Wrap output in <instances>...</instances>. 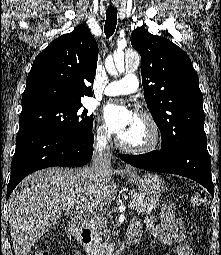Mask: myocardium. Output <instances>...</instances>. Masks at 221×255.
Masks as SVG:
<instances>
[{
	"mask_svg": "<svg viewBox=\"0 0 221 255\" xmlns=\"http://www.w3.org/2000/svg\"><path fill=\"white\" fill-rule=\"evenodd\" d=\"M135 116L142 119L150 129V140L142 145H129L123 142L120 137L116 138L118 147L126 152L134 154H146L155 151L161 143V131L156 120L147 112L136 111Z\"/></svg>",
	"mask_w": 221,
	"mask_h": 255,
	"instance_id": "f54148a6",
	"label": "myocardium"
}]
</instances>
